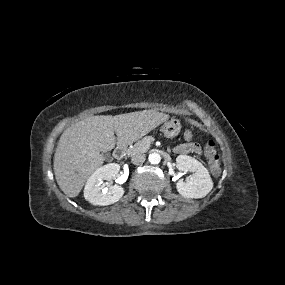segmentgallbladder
Masks as SVG:
<instances>
[{
	"mask_svg": "<svg viewBox=\"0 0 285 285\" xmlns=\"http://www.w3.org/2000/svg\"><path fill=\"white\" fill-rule=\"evenodd\" d=\"M103 157H104L105 160H109V161L112 160L111 155L109 153H107V152H103Z\"/></svg>",
	"mask_w": 285,
	"mask_h": 285,
	"instance_id": "bac80fb5",
	"label": "gallbladder"
}]
</instances>
